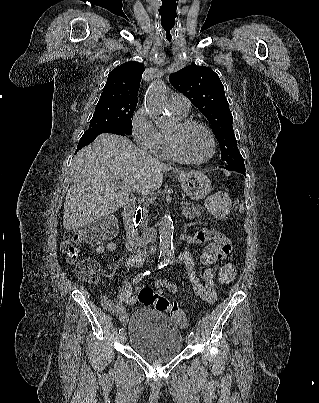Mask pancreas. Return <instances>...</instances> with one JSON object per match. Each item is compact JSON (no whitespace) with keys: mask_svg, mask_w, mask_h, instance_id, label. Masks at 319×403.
<instances>
[{"mask_svg":"<svg viewBox=\"0 0 319 403\" xmlns=\"http://www.w3.org/2000/svg\"><path fill=\"white\" fill-rule=\"evenodd\" d=\"M202 207L200 206H193V205H185L182 207V214L184 215V217L189 218V219H194L196 217H200L201 216V210ZM148 210L147 207L145 206L143 209V217H142V221L140 223V228L142 230H145L147 227V223H148Z\"/></svg>","mask_w":319,"mask_h":403,"instance_id":"1","label":"pancreas"}]
</instances>
